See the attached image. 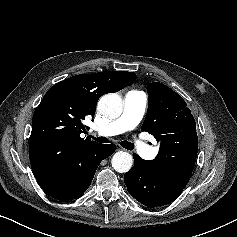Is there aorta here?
<instances>
[{"instance_id": "1", "label": "aorta", "mask_w": 237, "mask_h": 237, "mask_svg": "<svg viewBox=\"0 0 237 237\" xmlns=\"http://www.w3.org/2000/svg\"><path fill=\"white\" fill-rule=\"evenodd\" d=\"M98 111L109 118H117L123 110L122 99L116 93H109L98 101ZM112 167L119 173L128 172L133 165V157L128 152H116L111 161Z\"/></svg>"}]
</instances>
